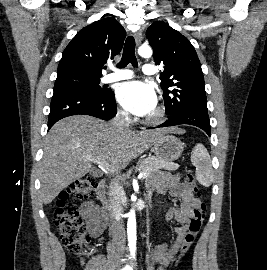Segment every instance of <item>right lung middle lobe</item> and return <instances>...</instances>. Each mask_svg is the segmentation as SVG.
Wrapping results in <instances>:
<instances>
[{
  "instance_id": "1",
  "label": "right lung middle lobe",
  "mask_w": 267,
  "mask_h": 270,
  "mask_svg": "<svg viewBox=\"0 0 267 270\" xmlns=\"http://www.w3.org/2000/svg\"><path fill=\"white\" fill-rule=\"evenodd\" d=\"M100 78L82 75H64L57 77L54 85V93L74 92L79 94L104 96L111 90L99 86Z\"/></svg>"
}]
</instances>
